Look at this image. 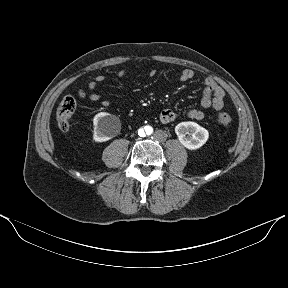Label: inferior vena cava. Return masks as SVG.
<instances>
[{"label":"inferior vena cava","mask_w":288,"mask_h":288,"mask_svg":"<svg viewBox=\"0 0 288 288\" xmlns=\"http://www.w3.org/2000/svg\"><path fill=\"white\" fill-rule=\"evenodd\" d=\"M151 138L156 143H164L167 140V133L163 129H155L151 133Z\"/></svg>","instance_id":"inferior-vena-cava-1"}]
</instances>
